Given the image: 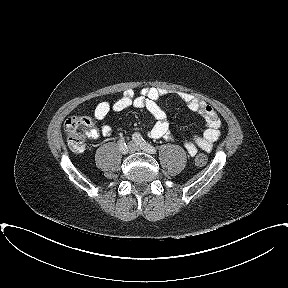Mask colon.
Here are the masks:
<instances>
[{
	"instance_id": "obj_1",
	"label": "colon",
	"mask_w": 288,
	"mask_h": 288,
	"mask_svg": "<svg viewBox=\"0 0 288 288\" xmlns=\"http://www.w3.org/2000/svg\"><path fill=\"white\" fill-rule=\"evenodd\" d=\"M93 126L94 119L90 116H72L65 121L64 131L73 153L78 154L84 150L86 139L91 135ZM195 163L198 166H204L207 163V157L200 153L195 157Z\"/></svg>"
}]
</instances>
